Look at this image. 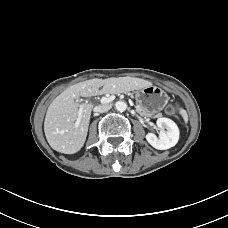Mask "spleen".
<instances>
[{"mask_svg":"<svg viewBox=\"0 0 228 228\" xmlns=\"http://www.w3.org/2000/svg\"><path fill=\"white\" fill-rule=\"evenodd\" d=\"M180 114L183 117L185 123H187V121H188L187 112L184 109H180Z\"/></svg>","mask_w":228,"mask_h":228,"instance_id":"obj_1","label":"spleen"}]
</instances>
